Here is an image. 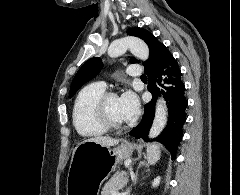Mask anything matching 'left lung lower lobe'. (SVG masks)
<instances>
[{
	"label": "left lung lower lobe",
	"mask_w": 240,
	"mask_h": 195,
	"mask_svg": "<svg viewBox=\"0 0 240 195\" xmlns=\"http://www.w3.org/2000/svg\"><path fill=\"white\" fill-rule=\"evenodd\" d=\"M147 75L148 91L153 94V99L144 106L143 119L129 134L136 139L148 140L147 136L155 116L156 95L162 94L166 100L169 116L165 129L155 140L162 143L175 159L177 147L182 139V128L186 121L185 109L188 104L182 74L177 61L170 54Z\"/></svg>",
	"instance_id": "obj_1"
}]
</instances>
